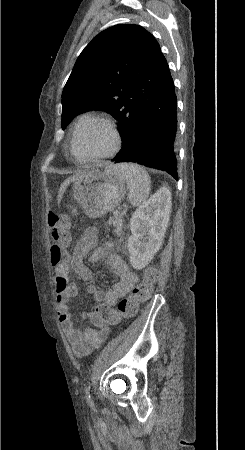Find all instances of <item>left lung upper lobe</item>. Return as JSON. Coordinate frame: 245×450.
Here are the masks:
<instances>
[{
	"mask_svg": "<svg viewBox=\"0 0 245 450\" xmlns=\"http://www.w3.org/2000/svg\"><path fill=\"white\" fill-rule=\"evenodd\" d=\"M168 69L159 44L143 27L119 24L102 31L81 52L64 86L62 129L86 110H104L119 122L125 146Z\"/></svg>",
	"mask_w": 245,
	"mask_h": 450,
	"instance_id": "obj_1",
	"label": "left lung upper lobe"
}]
</instances>
